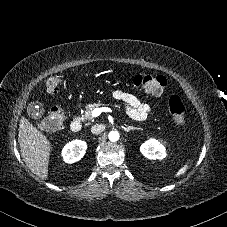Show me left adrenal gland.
I'll list each match as a JSON object with an SVG mask.
<instances>
[{"label": "left adrenal gland", "instance_id": "obj_1", "mask_svg": "<svg viewBox=\"0 0 227 227\" xmlns=\"http://www.w3.org/2000/svg\"><path fill=\"white\" fill-rule=\"evenodd\" d=\"M140 128H137V127H132V126H129V127H127V128H124V130L126 131V132H129L130 130H139Z\"/></svg>", "mask_w": 227, "mask_h": 227}]
</instances>
